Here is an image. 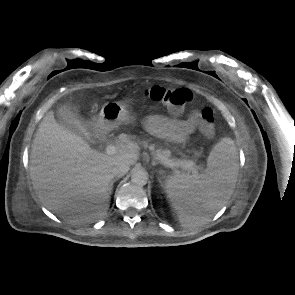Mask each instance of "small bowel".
<instances>
[{"mask_svg":"<svg viewBox=\"0 0 295 295\" xmlns=\"http://www.w3.org/2000/svg\"><path fill=\"white\" fill-rule=\"evenodd\" d=\"M197 117V112H193L187 119L153 115L147 119L146 125L152 133L161 138L182 142L193 132Z\"/></svg>","mask_w":295,"mask_h":295,"instance_id":"obj_1","label":"small bowel"}]
</instances>
